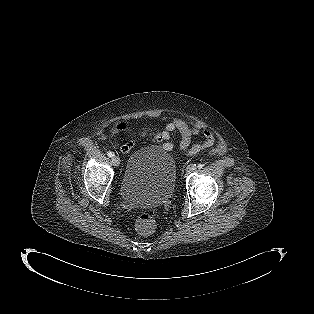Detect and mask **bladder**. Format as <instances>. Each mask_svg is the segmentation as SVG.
<instances>
[{
	"instance_id": "bladder-1",
	"label": "bladder",
	"mask_w": 314,
	"mask_h": 314,
	"mask_svg": "<svg viewBox=\"0 0 314 314\" xmlns=\"http://www.w3.org/2000/svg\"><path fill=\"white\" fill-rule=\"evenodd\" d=\"M176 170L169 152L154 146L141 148L129 158L120 195L130 206L156 208L173 194Z\"/></svg>"
}]
</instances>
